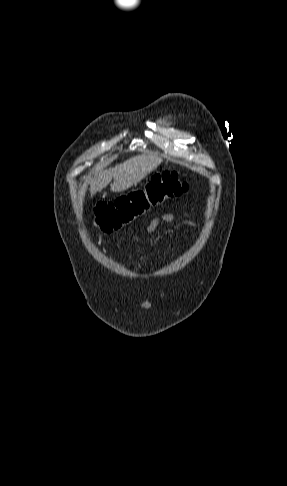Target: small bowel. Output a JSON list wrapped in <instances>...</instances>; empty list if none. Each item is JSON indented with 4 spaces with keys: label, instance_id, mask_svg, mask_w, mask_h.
Returning <instances> with one entry per match:
<instances>
[{
    "label": "small bowel",
    "instance_id": "c3829d8e",
    "mask_svg": "<svg viewBox=\"0 0 287 486\" xmlns=\"http://www.w3.org/2000/svg\"><path fill=\"white\" fill-rule=\"evenodd\" d=\"M175 221V216L172 213H165L153 218L146 227L147 233L155 232L163 223H173ZM132 239L135 242H140V238L137 235H132Z\"/></svg>",
    "mask_w": 287,
    "mask_h": 486
}]
</instances>
